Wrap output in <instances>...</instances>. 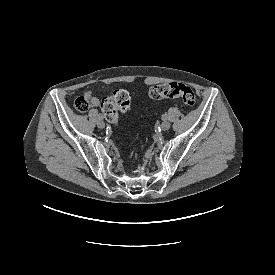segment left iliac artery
<instances>
[{"mask_svg":"<svg viewBox=\"0 0 275 275\" xmlns=\"http://www.w3.org/2000/svg\"><path fill=\"white\" fill-rule=\"evenodd\" d=\"M167 118H168V116H167L166 114H163V115H162V119H163V120H166Z\"/></svg>","mask_w":275,"mask_h":275,"instance_id":"left-iliac-artery-1","label":"left iliac artery"}]
</instances>
